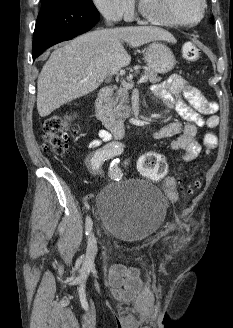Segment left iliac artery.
I'll list each match as a JSON object with an SVG mask.
<instances>
[{
  "mask_svg": "<svg viewBox=\"0 0 233 328\" xmlns=\"http://www.w3.org/2000/svg\"><path fill=\"white\" fill-rule=\"evenodd\" d=\"M118 164H119V159H114L111 163V166H110V177L119 181L122 177V173H121V170L120 168L118 167Z\"/></svg>",
  "mask_w": 233,
  "mask_h": 328,
  "instance_id": "left-iliac-artery-1",
  "label": "left iliac artery"
}]
</instances>
